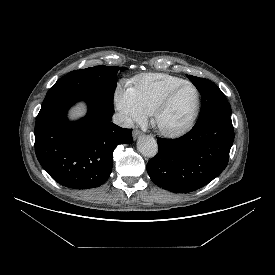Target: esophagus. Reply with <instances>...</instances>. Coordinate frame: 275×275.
<instances>
[{"instance_id": "34e87169", "label": "esophagus", "mask_w": 275, "mask_h": 275, "mask_svg": "<svg viewBox=\"0 0 275 275\" xmlns=\"http://www.w3.org/2000/svg\"><path fill=\"white\" fill-rule=\"evenodd\" d=\"M141 134L142 132L140 130H134L132 133L133 139L136 140Z\"/></svg>"}]
</instances>
